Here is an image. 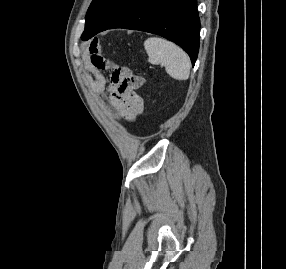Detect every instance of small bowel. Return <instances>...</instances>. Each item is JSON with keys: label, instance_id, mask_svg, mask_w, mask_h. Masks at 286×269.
<instances>
[{"label": "small bowel", "instance_id": "1", "mask_svg": "<svg viewBox=\"0 0 286 269\" xmlns=\"http://www.w3.org/2000/svg\"><path fill=\"white\" fill-rule=\"evenodd\" d=\"M87 55L89 57V61L86 68L90 72V74H87V80L93 92L99 97H102L105 91L107 92V95L105 96V109L108 115L116 121H135L141 114L142 110H124L121 95H118L117 88H114L112 80L114 75L111 74L109 81H107L104 76V71H111V68L116 64L103 57L100 52L99 43L97 42L89 45L87 48Z\"/></svg>", "mask_w": 286, "mask_h": 269}]
</instances>
